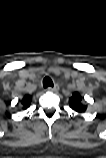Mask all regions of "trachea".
Listing matches in <instances>:
<instances>
[{"label": "trachea", "instance_id": "3493384b", "mask_svg": "<svg viewBox=\"0 0 106 158\" xmlns=\"http://www.w3.org/2000/svg\"><path fill=\"white\" fill-rule=\"evenodd\" d=\"M43 86H44V88L53 87L54 84H53L52 79H51L50 77H45V78L43 79Z\"/></svg>", "mask_w": 106, "mask_h": 158}]
</instances>
